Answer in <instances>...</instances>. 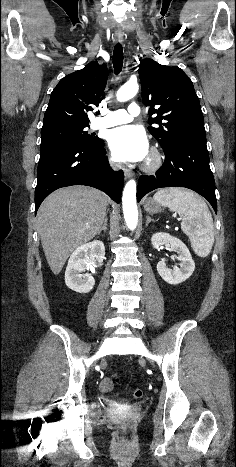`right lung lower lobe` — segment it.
Masks as SVG:
<instances>
[{"label":"right lung lower lobe","instance_id":"right-lung-lower-lobe-1","mask_svg":"<svg viewBox=\"0 0 236 467\" xmlns=\"http://www.w3.org/2000/svg\"><path fill=\"white\" fill-rule=\"evenodd\" d=\"M35 212L54 190L71 185H88L120 202L123 171L114 172L104 149V141L87 147L76 143H58L40 148Z\"/></svg>","mask_w":236,"mask_h":467}]
</instances>
